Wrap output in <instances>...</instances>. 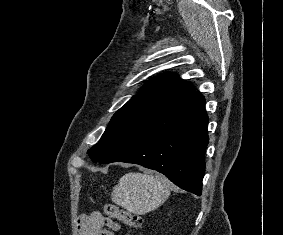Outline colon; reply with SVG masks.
<instances>
[{
	"instance_id": "1",
	"label": "colon",
	"mask_w": 283,
	"mask_h": 235,
	"mask_svg": "<svg viewBox=\"0 0 283 235\" xmlns=\"http://www.w3.org/2000/svg\"><path fill=\"white\" fill-rule=\"evenodd\" d=\"M104 213L108 219L119 221L132 228H140L143 225L141 216L126 211L112 203L105 204Z\"/></svg>"
}]
</instances>
